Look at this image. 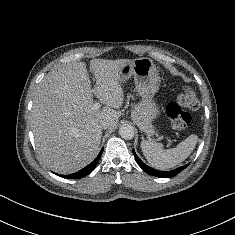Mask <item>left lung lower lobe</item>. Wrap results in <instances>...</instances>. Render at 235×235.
I'll list each match as a JSON object with an SVG mask.
<instances>
[{"label":"left lung lower lobe","mask_w":235,"mask_h":235,"mask_svg":"<svg viewBox=\"0 0 235 235\" xmlns=\"http://www.w3.org/2000/svg\"><path fill=\"white\" fill-rule=\"evenodd\" d=\"M133 154H134V157L138 163V165L148 174L150 175H153V176H157V177H163V178H167V177H172V176H175L176 174H178L179 172H181L182 170H184L189 164L187 165H184L182 167H179L175 170H172V171H159V170H156V169H153L149 166H147L146 164H144L140 159L139 157L136 155V153L134 152L133 150Z\"/></svg>","instance_id":"left-lung-lower-lobe-1"}]
</instances>
